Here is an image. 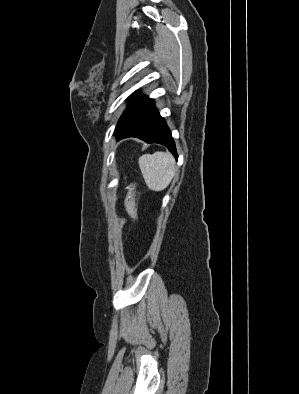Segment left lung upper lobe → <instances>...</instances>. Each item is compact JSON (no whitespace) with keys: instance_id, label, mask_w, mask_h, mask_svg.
Returning a JSON list of instances; mask_svg holds the SVG:
<instances>
[{"instance_id":"5c2ea615","label":"left lung upper lobe","mask_w":299,"mask_h":394,"mask_svg":"<svg viewBox=\"0 0 299 394\" xmlns=\"http://www.w3.org/2000/svg\"><path fill=\"white\" fill-rule=\"evenodd\" d=\"M132 96H133V100H132V102H130V104L128 105V107L126 108V110L124 111V113L122 114V116H121V118L123 117V115L127 112V110L130 108V106L134 103V101L139 97V92L138 91H135L133 94H132ZM120 118V119H121ZM119 119V120H120Z\"/></svg>"}]
</instances>
